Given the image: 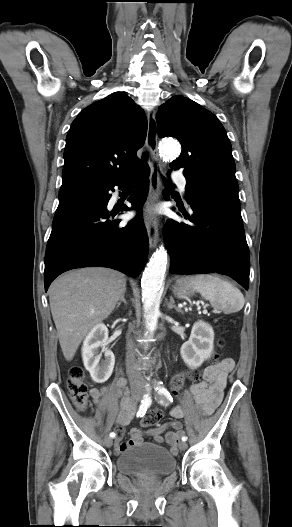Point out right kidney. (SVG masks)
<instances>
[{
	"instance_id": "obj_1",
	"label": "right kidney",
	"mask_w": 292,
	"mask_h": 527,
	"mask_svg": "<svg viewBox=\"0 0 292 527\" xmlns=\"http://www.w3.org/2000/svg\"><path fill=\"white\" fill-rule=\"evenodd\" d=\"M107 340L108 329L104 324L100 323L91 329L83 342V363L96 383L107 381L114 368L115 357L113 352L106 347L108 344ZM100 347L105 356V360L101 362Z\"/></svg>"
}]
</instances>
